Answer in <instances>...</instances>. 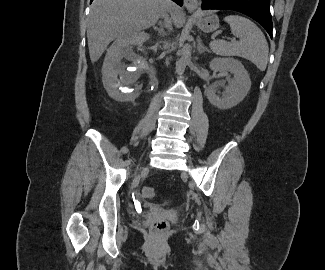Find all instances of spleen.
<instances>
[{"label":"spleen","instance_id":"spleen-1","mask_svg":"<svg viewBox=\"0 0 325 270\" xmlns=\"http://www.w3.org/2000/svg\"><path fill=\"white\" fill-rule=\"evenodd\" d=\"M224 20L231 32L238 37V43L224 40L210 42V49L221 56H239L251 61L260 71H265L268 63L269 47L261 29L251 20L240 15H229Z\"/></svg>","mask_w":325,"mask_h":270}]
</instances>
